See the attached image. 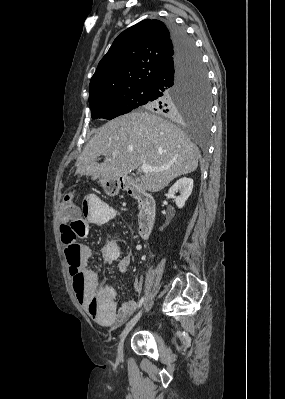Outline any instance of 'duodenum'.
<instances>
[{"instance_id":"410a0bca","label":"duodenum","mask_w":285,"mask_h":399,"mask_svg":"<svg viewBox=\"0 0 285 399\" xmlns=\"http://www.w3.org/2000/svg\"><path fill=\"white\" fill-rule=\"evenodd\" d=\"M127 193L134 197L139 206V236L142 239H147L152 232L156 223V206L152 196L142 190L141 187L135 184H130L126 187Z\"/></svg>"}]
</instances>
